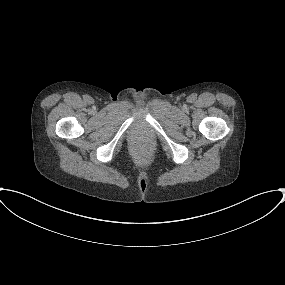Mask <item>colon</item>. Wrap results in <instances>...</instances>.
<instances>
[{
	"label": "colon",
	"mask_w": 285,
	"mask_h": 285,
	"mask_svg": "<svg viewBox=\"0 0 285 285\" xmlns=\"http://www.w3.org/2000/svg\"><path fill=\"white\" fill-rule=\"evenodd\" d=\"M150 149L148 147H141L139 149V155L143 158H147L150 155Z\"/></svg>",
	"instance_id": "1"
}]
</instances>
